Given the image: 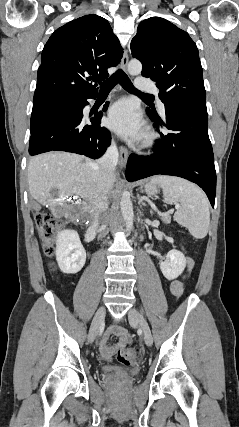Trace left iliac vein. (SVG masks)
Listing matches in <instances>:
<instances>
[{
    "label": "left iliac vein",
    "mask_w": 239,
    "mask_h": 427,
    "mask_svg": "<svg viewBox=\"0 0 239 427\" xmlns=\"http://www.w3.org/2000/svg\"><path fill=\"white\" fill-rule=\"evenodd\" d=\"M128 319L132 327L136 328L138 326H142L144 342L147 346H151L153 344V337L150 328L142 315L135 308H131L128 312Z\"/></svg>",
    "instance_id": "obj_1"
}]
</instances>
